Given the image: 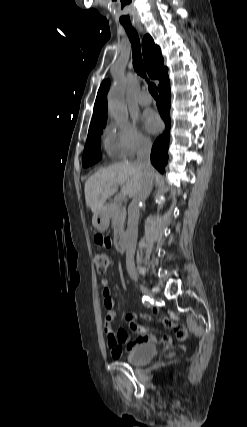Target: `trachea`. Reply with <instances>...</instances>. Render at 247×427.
Masks as SVG:
<instances>
[{
  "label": "trachea",
  "instance_id": "trachea-1",
  "mask_svg": "<svg viewBox=\"0 0 247 427\" xmlns=\"http://www.w3.org/2000/svg\"><path fill=\"white\" fill-rule=\"evenodd\" d=\"M124 29L131 41L132 45V54H133V66L135 71L142 77H146L145 68L143 65L142 55H141V47H140V39L136 32V30L131 25H124ZM149 82V81H148ZM149 92L154 98L158 97L157 87L153 83H149L148 85Z\"/></svg>",
  "mask_w": 247,
  "mask_h": 427
}]
</instances>
